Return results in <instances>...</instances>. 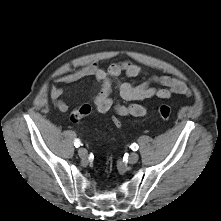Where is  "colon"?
<instances>
[{"mask_svg":"<svg viewBox=\"0 0 221 221\" xmlns=\"http://www.w3.org/2000/svg\"><path fill=\"white\" fill-rule=\"evenodd\" d=\"M90 112L91 106L89 104H83L72 111L70 118L72 121L77 122L89 115ZM158 114L163 120H169L172 116V110L167 105H161L158 109ZM112 126L115 129H120L123 126V121L120 118H117V116H112Z\"/></svg>","mask_w":221,"mask_h":221,"instance_id":"obj_1","label":"colon"}]
</instances>
